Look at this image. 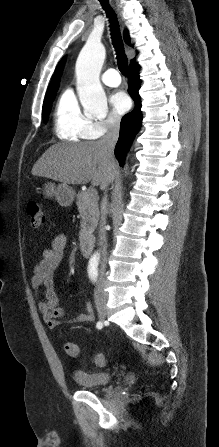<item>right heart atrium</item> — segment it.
Returning a JSON list of instances; mask_svg holds the SVG:
<instances>
[{
  "mask_svg": "<svg viewBox=\"0 0 219 447\" xmlns=\"http://www.w3.org/2000/svg\"><path fill=\"white\" fill-rule=\"evenodd\" d=\"M121 120V116L117 113H110L105 119L96 121L94 123V129L97 137L103 136L118 129L120 127Z\"/></svg>",
  "mask_w": 219,
  "mask_h": 447,
  "instance_id": "right-heart-atrium-1",
  "label": "right heart atrium"
}]
</instances>
